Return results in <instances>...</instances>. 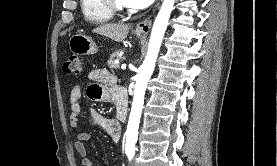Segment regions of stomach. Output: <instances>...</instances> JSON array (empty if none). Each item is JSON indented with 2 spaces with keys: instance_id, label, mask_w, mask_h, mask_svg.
Instances as JSON below:
<instances>
[{
  "instance_id": "0dacf381",
  "label": "stomach",
  "mask_w": 277,
  "mask_h": 166,
  "mask_svg": "<svg viewBox=\"0 0 277 166\" xmlns=\"http://www.w3.org/2000/svg\"><path fill=\"white\" fill-rule=\"evenodd\" d=\"M136 36L142 38L140 33H136ZM69 47L77 55H92L98 52V47L92 38L81 33H77L70 38Z\"/></svg>"
}]
</instances>
